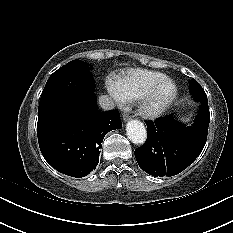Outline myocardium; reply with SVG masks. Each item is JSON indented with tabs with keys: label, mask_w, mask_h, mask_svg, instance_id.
I'll use <instances>...</instances> for the list:
<instances>
[{
	"label": "myocardium",
	"mask_w": 233,
	"mask_h": 233,
	"mask_svg": "<svg viewBox=\"0 0 233 233\" xmlns=\"http://www.w3.org/2000/svg\"><path fill=\"white\" fill-rule=\"evenodd\" d=\"M166 85L171 87L170 93L163 99L158 100L159 91ZM178 96V87L170 78H164L155 83L142 97L138 100V112L147 119H155L161 116L175 101Z\"/></svg>",
	"instance_id": "1"
}]
</instances>
